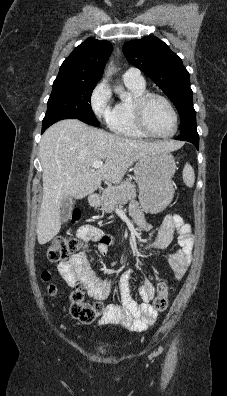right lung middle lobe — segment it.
<instances>
[{
  "instance_id": "obj_1",
  "label": "right lung middle lobe",
  "mask_w": 227,
  "mask_h": 396,
  "mask_svg": "<svg viewBox=\"0 0 227 396\" xmlns=\"http://www.w3.org/2000/svg\"><path fill=\"white\" fill-rule=\"evenodd\" d=\"M98 81H83L58 77L53 83L44 119L67 115L92 126H100L90 104Z\"/></svg>"
}]
</instances>
